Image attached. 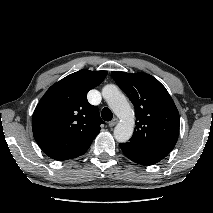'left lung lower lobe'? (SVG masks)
Segmentation results:
<instances>
[{
	"mask_svg": "<svg viewBox=\"0 0 213 213\" xmlns=\"http://www.w3.org/2000/svg\"><path fill=\"white\" fill-rule=\"evenodd\" d=\"M120 148L129 159L141 165H153L163 159L159 156L140 152L126 143H120Z\"/></svg>",
	"mask_w": 213,
	"mask_h": 213,
	"instance_id": "1",
	"label": "left lung lower lobe"
}]
</instances>
